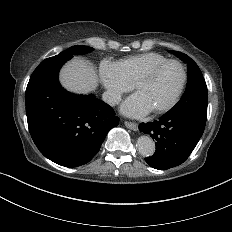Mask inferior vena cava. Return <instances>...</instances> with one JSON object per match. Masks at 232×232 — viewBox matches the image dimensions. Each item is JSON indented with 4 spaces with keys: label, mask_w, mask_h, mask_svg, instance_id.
Listing matches in <instances>:
<instances>
[{
    "label": "inferior vena cava",
    "mask_w": 232,
    "mask_h": 232,
    "mask_svg": "<svg viewBox=\"0 0 232 232\" xmlns=\"http://www.w3.org/2000/svg\"><path fill=\"white\" fill-rule=\"evenodd\" d=\"M102 99L105 103H107L109 105H116L121 101L120 96H118L110 91H105L102 94Z\"/></svg>",
    "instance_id": "1"
}]
</instances>
